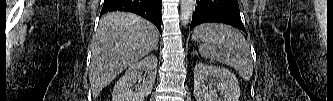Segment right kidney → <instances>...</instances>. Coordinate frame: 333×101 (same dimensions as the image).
Listing matches in <instances>:
<instances>
[{
	"mask_svg": "<svg viewBox=\"0 0 333 101\" xmlns=\"http://www.w3.org/2000/svg\"><path fill=\"white\" fill-rule=\"evenodd\" d=\"M157 62V58L154 55H149L140 62L130 65L125 74L115 84L112 100L143 101L144 97L150 94L153 88L156 77ZM144 72L145 75L142 76ZM137 80L141 82L138 87V91H130L129 87L136 83Z\"/></svg>",
	"mask_w": 333,
	"mask_h": 101,
	"instance_id": "obj_1",
	"label": "right kidney"
}]
</instances>
